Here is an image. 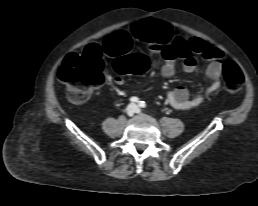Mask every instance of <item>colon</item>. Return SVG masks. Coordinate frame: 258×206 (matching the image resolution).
<instances>
[{"instance_id":"obj_1","label":"colon","mask_w":258,"mask_h":206,"mask_svg":"<svg viewBox=\"0 0 258 206\" xmlns=\"http://www.w3.org/2000/svg\"><path fill=\"white\" fill-rule=\"evenodd\" d=\"M158 27L157 29H161ZM116 70L120 74H143L149 66L148 59L140 54L120 57L116 60ZM58 79L66 86L71 102L86 101L94 89L101 86L105 80L104 62L101 50L97 47L86 48L82 54H71L58 70ZM222 76L226 89L236 92L243 84L244 77L240 68L230 60L223 63Z\"/></svg>"}]
</instances>
